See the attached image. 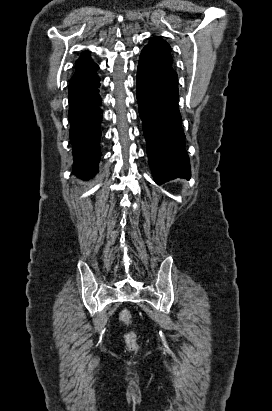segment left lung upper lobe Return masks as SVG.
I'll list each match as a JSON object with an SVG mask.
<instances>
[{"mask_svg":"<svg viewBox=\"0 0 272 411\" xmlns=\"http://www.w3.org/2000/svg\"><path fill=\"white\" fill-rule=\"evenodd\" d=\"M153 52L161 60L165 61L169 65H173V58L171 56V48L169 44L160 37H152L149 40L148 45L144 47Z\"/></svg>","mask_w":272,"mask_h":411,"instance_id":"obj_1","label":"left lung upper lobe"}]
</instances>
